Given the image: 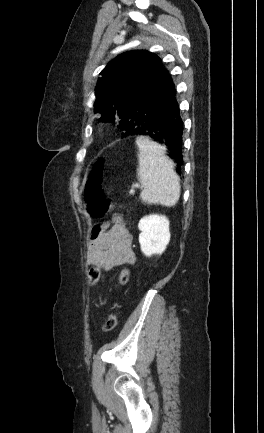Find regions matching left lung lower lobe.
<instances>
[{"instance_id": "1", "label": "left lung lower lobe", "mask_w": 264, "mask_h": 433, "mask_svg": "<svg viewBox=\"0 0 264 433\" xmlns=\"http://www.w3.org/2000/svg\"><path fill=\"white\" fill-rule=\"evenodd\" d=\"M120 126L126 136H147L165 146L177 163V172H181L183 121L168 70L164 69L141 92L121 119Z\"/></svg>"}]
</instances>
